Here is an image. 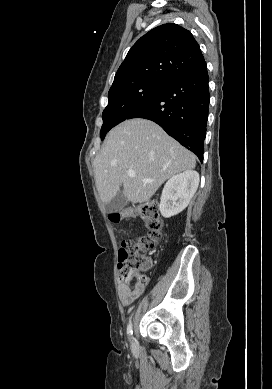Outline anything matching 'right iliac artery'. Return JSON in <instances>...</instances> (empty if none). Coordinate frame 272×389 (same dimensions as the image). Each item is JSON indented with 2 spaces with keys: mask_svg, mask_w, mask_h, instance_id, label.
I'll list each match as a JSON object with an SVG mask.
<instances>
[{
  "mask_svg": "<svg viewBox=\"0 0 272 389\" xmlns=\"http://www.w3.org/2000/svg\"><path fill=\"white\" fill-rule=\"evenodd\" d=\"M127 334L129 336V338H131L132 334H133V330H132V323L130 322L127 326Z\"/></svg>",
  "mask_w": 272,
  "mask_h": 389,
  "instance_id": "82829eb1",
  "label": "right iliac artery"
}]
</instances>
